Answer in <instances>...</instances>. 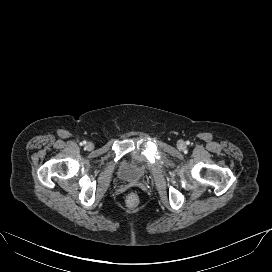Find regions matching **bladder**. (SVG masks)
I'll list each match as a JSON object with an SVG mask.
<instances>
[{
  "label": "bladder",
  "instance_id": "obj_1",
  "mask_svg": "<svg viewBox=\"0 0 272 272\" xmlns=\"http://www.w3.org/2000/svg\"><path fill=\"white\" fill-rule=\"evenodd\" d=\"M147 168L140 156L129 155L121 161L117 176L124 182H139L146 176Z\"/></svg>",
  "mask_w": 272,
  "mask_h": 272
}]
</instances>
